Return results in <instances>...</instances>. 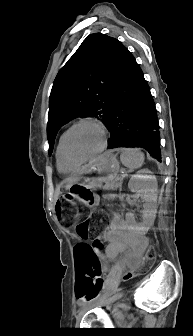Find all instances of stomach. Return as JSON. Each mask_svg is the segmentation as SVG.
<instances>
[{
  "instance_id": "obj_1",
  "label": "stomach",
  "mask_w": 193,
  "mask_h": 336,
  "mask_svg": "<svg viewBox=\"0 0 193 336\" xmlns=\"http://www.w3.org/2000/svg\"><path fill=\"white\" fill-rule=\"evenodd\" d=\"M119 172V162L116 156L111 153H105L89 167L85 176H82L80 182L73 184L70 192L84 205L94 208L98 203V196L94 193L96 188L102 187L113 180ZM96 174L98 176H93ZM106 185L104 188H106Z\"/></svg>"
}]
</instances>
